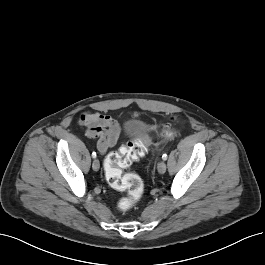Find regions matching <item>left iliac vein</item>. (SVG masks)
Wrapping results in <instances>:
<instances>
[{
  "mask_svg": "<svg viewBox=\"0 0 265 265\" xmlns=\"http://www.w3.org/2000/svg\"><path fill=\"white\" fill-rule=\"evenodd\" d=\"M166 168H167V167H166V163H165L164 161H161V162L158 163L157 169H158V172H159L160 174L165 173Z\"/></svg>",
  "mask_w": 265,
  "mask_h": 265,
  "instance_id": "obj_1",
  "label": "left iliac vein"
}]
</instances>
